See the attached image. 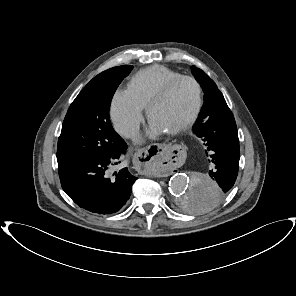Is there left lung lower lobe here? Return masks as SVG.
Here are the masks:
<instances>
[{
  "mask_svg": "<svg viewBox=\"0 0 296 296\" xmlns=\"http://www.w3.org/2000/svg\"><path fill=\"white\" fill-rule=\"evenodd\" d=\"M205 145V154L212 163L209 176L218 187L204 185L201 192L193 188L185 206L208 209L222 200L233 187L240 159L239 139L235 119L226 102L221 103L198 128Z\"/></svg>",
  "mask_w": 296,
  "mask_h": 296,
  "instance_id": "1",
  "label": "left lung lower lobe"
}]
</instances>
